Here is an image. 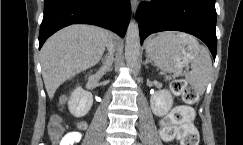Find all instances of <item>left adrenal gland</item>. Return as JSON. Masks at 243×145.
<instances>
[{"mask_svg":"<svg viewBox=\"0 0 243 145\" xmlns=\"http://www.w3.org/2000/svg\"><path fill=\"white\" fill-rule=\"evenodd\" d=\"M149 63L152 64V62L150 61L149 57H147L146 60H145V62H144V65H147V64H149Z\"/></svg>","mask_w":243,"mask_h":145,"instance_id":"obj_1","label":"left adrenal gland"}]
</instances>
